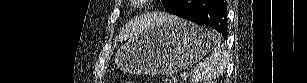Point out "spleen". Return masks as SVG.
<instances>
[{
  "mask_svg": "<svg viewBox=\"0 0 307 83\" xmlns=\"http://www.w3.org/2000/svg\"><path fill=\"white\" fill-rule=\"evenodd\" d=\"M208 38L212 40L213 51L204 62H200L192 70L191 83H210L212 79L220 76L228 63V55L220 35L212 29L207 31Z\"/></svg>",
  "mask_w": 307,
  "mask_h": 83,
  "instance_id": "1",
  "label": "spleen"
}]
</instances>
